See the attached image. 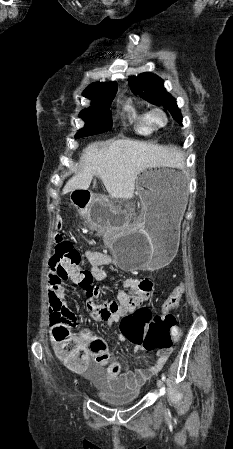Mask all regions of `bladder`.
I'll use <instances>...</instances> for the list:
<instances>
[{"instance_id": "obj_1", "label": "bladder", "mask_w": 233, "mask_h": 449, "mask_svg": "<svg viewBox=\"0 0 233 449\" xmlns=\"http://www.w3.org/2000/svg\"><path fill=\"white\" fill-rule=\"evenodd\" d=\"M98 397L111 407H123L137 401L140 390L138 388L114 389L101 379H95Z\"/></svg>"}]
</instances>
